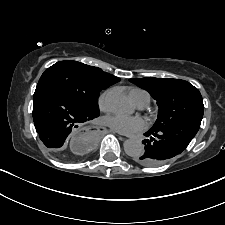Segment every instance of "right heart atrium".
I'll use <instances>...</instances> for the list:
<instances>
[{"mask_svg":"<svg viewBox=\"0 0 225 225\" xmlns=\"http://www.w3.org/2000/svg\"><path fill=\"white\" fill-rule=\"evenodd\" d=\"M111 94V90L104 91L98 99V106L102 111L109 110V97Z\"/></svg>","mask_w":225,"mask_h":225,"instance_id":"d8ad5b80","label":"right heart atrium"}]
</instances>
